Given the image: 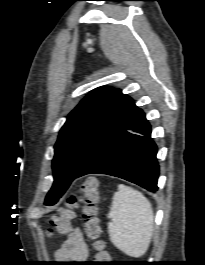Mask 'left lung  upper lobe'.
<instances>
[{
    "label": "left lung upper lobe",
    "mask_w": 205,
    "mask_h": 265,
    "mask_svg": "<svg viewBox=\"0 0 205 265\" xmlns=\"http://www.w3.org/2000/svg\"><path fill=\"white\" fill-rule=\"evenodd\" d=\"M138 107L121 90L99 87L68 115L54 146V183L45 204L54 205L84 165L130 120Z\"/></svg>",
    "instance_id": "left-lung-upper-lobe-1"
}]
</instances>
